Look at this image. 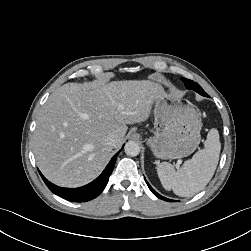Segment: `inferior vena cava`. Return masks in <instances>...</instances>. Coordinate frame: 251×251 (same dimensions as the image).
Instances as JSON below:
<instances>
[{"label":"inferior vena cava","instance_id":"obj_1","mask_svg":"<svg viewBox=\"0 0 251 251\" xmlns=\"http://www.w3.org/2000/svg\"><path fill=\"white\" fill-rule=\"evenodd\" d=\"M105 142L107 145L115 147L117 142V135L114 133L108 135L107 138L105 139Z\"/></svg>","mask_w":251,"mask_h":251}]
</instances>
